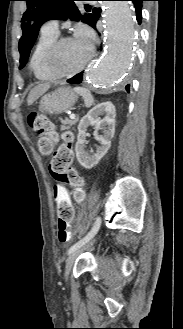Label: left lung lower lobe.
Wrapping results in <instances>:
<instances>
[{
	"instance_id": "1",
	"label": "left lung lower lobe",
	"mask_w": 183,
	"mask_h": 329,
	"mask_svg": "<svg viewBox=\"0 0 183 329\" xmlns=\"http://www.w3.org/2000/svg\"><path fill=\"white\" fill-rule=\"evenodd\" d=\"M134 3V7H135V12H136V19L138 21V23L140 24L141 23V20H142V14H141V9H142V2L145 1V0H130ZM99 16L98 15H95V22L93 24V28H95L96 26V22H97V18ZM82 78H83V72L73 76L72 78L68 79L67 82L68 83H71V84H80L82 82ZM126 90L127 92H129V89H130V85H126Z\"/></svg>"
}]
</instances>
